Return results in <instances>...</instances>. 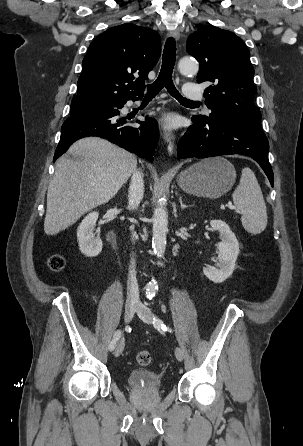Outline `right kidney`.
Wrapping results in <instances>:
<instances>
[{"label":"right kidney","mask_w":303,"mask_h":446,"mask_svg":"<svg viewBox=\"0 0 303 446\" xmlns=\"http://www.w3.org/2000/svg\"><path fill=\"white\" fill-rule=\"evenodd\" d=\"M97 219V212L89 213L77 229L79 249L87 257H96L102 251V241L94 234Z\"/></svg>","instance_id":"ca27d5eb"}]
</instances>
